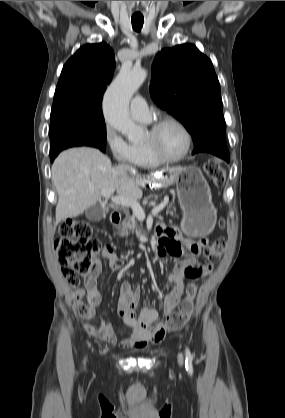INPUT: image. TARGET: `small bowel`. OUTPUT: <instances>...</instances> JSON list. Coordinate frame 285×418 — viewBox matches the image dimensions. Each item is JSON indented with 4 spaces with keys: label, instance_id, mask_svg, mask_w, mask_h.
<instances>
[{
    "label": "small bowel",
    "instance_id": "1",
    "mask_svg": "<svg viewBox=\"0 0 285 418\" xmlns=\"http://www.w3.org/2000/svg\"><path fill=\"white\" fill-rule=\"evenodd\" d=\"M158 249L162 248L169 256L178 257L183 250H188L190 255L175 263L173 272L168 279L173 284L172 291L163 301V313L170 314L187 295L185 279L203 278L210 270L211 265H196V257L200 254L206 239L200 238L194 241L175 239L173 232L163 227H158L157 232ZM106 263L111 269L118 270L124 267V260L117 257L111 247H105L94 263L92 272L83 288L74 287L73 300L76 304L78 315L84 320H91L98 317V308L102 301V295L96 287V279L100 274L103 264ZM140 300V290H133L128 282H123L117 300V312L121 316L123 323L132 328L130 337L119 343L123 349L140 348L148 343H161L166 336V332L159 334L157 328L161 324H156L158 311L153 307H143L137 314L136 307ZM85 331L102 341L115 344L116 325L111 321L99 318L97 322H87L84 325Z\"/></svg>",
    "mask_w": 285,
    "mask_h": 418
}]
</instances>
